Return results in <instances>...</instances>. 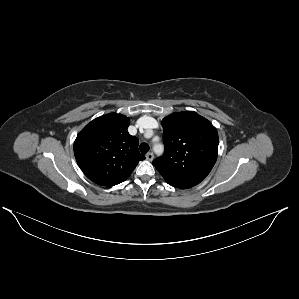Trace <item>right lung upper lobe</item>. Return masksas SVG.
Masks as SVG:
<instances>
[{
	"label": "right lung upper lobe",
	"instance_id": "right-lung-upper-lobe-1",
	"mask_svg": "<svg viewBox=\"0 0 299 299\" xmlns=\"http://www.w3.org/2000/svg\"><path fill=\"white\" fill-rule=\"evenodd\" d=\"M130 119L107 114L86 125L74 142V154L84 174L94 183L114 186L125 181L145 157L139 140L128 133Z\"/></svg>",
	"mask_w": 299,
	"mask_h": 299
}]
</instances>
